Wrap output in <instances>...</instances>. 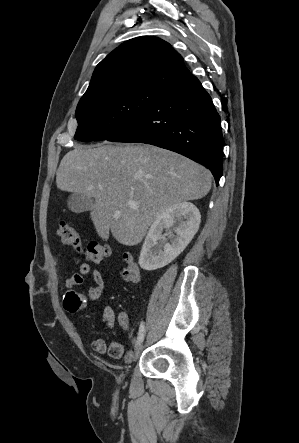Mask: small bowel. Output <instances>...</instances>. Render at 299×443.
Wrapping results in <instances>:
<instances>
[{"instance_id":"c3829d8e","label":"small bowel","mask_w":299,"mask_h":443,"mask_svg":"<svg viewBox=\"0 0 299 443\" xmlns=\"http://www.w3.org/2000/svg\"><path fill=\"white\" fill-rule=\"evenodd\" d=\"M89 274L92 276L94 285L88 289L87 295L75 291L74 287L83 284L85 276ZM66 287L68 291L64 297L63 307L66 311L74 313L83 307L87 299L96 300L101 296L104 289V279L98 269L93 268L90 263H83L80 265L77 273L66 279ZM118 317L123 318L124 325L127 323L128 314L126 312H121ZM104 319L109 327L113 325L115 313L111 307L105 309ZM92 349L98 354H108L115 359L124 357L126 360H129L132 356L131 353H126L124 345L117 341L107 343L104 339H95L92 342Z\"/></svg>"}]
</instances>
